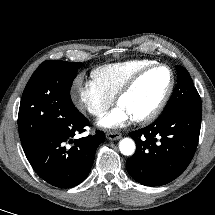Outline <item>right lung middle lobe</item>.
I'll return each instance as SVG.
<instances>
[{
    "instance_id": "right-lung-middle-lobe-1",
    "label": "right lung middle lobe",
    "mask_w": 215,
    "mask_h": 215,
    "mask_svg": "<svg viewBox=\"0 0 215 215\" xmlns=\"http://www.w3.org/2000/svg\"><path fill=\"white\" fill-rule=\"evenodd\" d=\"M81 62L45 61L24 89L18 130L22 146L53 130L79 113L70 97L72 82Z\"/></svg>"
}]
</instances>
